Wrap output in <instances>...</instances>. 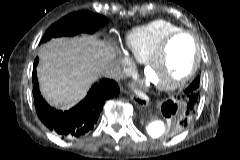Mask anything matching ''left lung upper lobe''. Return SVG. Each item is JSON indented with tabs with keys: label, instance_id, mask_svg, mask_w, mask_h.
Masks as SVG:
<instances>
[{
	"label": "left lung upper lobe",
	"instance_id": "obj_1",
	"mask_svg": "<svg viewBox=\"0 0 240 160\" xmlns=\"http://www.w3.org/2000/svg\"><path fill=\"white\" fill-rule=\"evenodd\" d=\"M192 87V89L194 91H199V86H200V77L197 76L196 79L192 82V84L190 85ZM191 120V118L189 119V121ZM186 126V124L184 123H177L175 125V128H177V130H181Z\"/></svg>",
	"mask_w": 240,
	"mask_h": 160
}]
</instances>
